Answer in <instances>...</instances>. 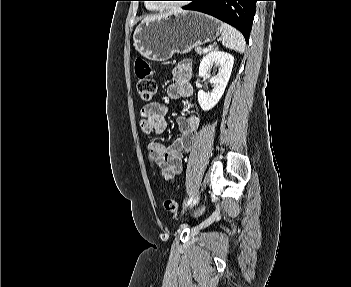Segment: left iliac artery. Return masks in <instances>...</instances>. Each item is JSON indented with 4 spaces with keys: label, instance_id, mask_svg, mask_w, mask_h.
Listing matches in <instances>:
<instances>
[{
    "label": "left iliac artery",
    "instance_id": "1",
    "mask_svg": "<svg viewBox=\"0 0 351 287\" xmlns=\"http://www.w3.org/2000/svg\"><path fill=\"white\" fill-rule=\"evenodd\" d=\"M192 201H193V196L187 200V202L185 203V205H186V206L190 205V204L192 203Z\"/></svg>",
    "mask_w": 351,
    "mask_h": 287
}]
</instances>
